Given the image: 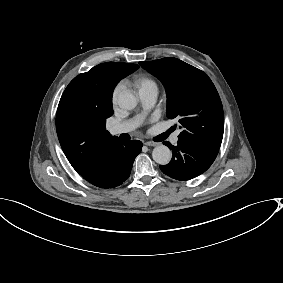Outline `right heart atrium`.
<instances>
[{"mask_svg":"<svg viewBox=\"0 0 283 283\" xmlns=\"http://www.w3.org/2000/svg\"><path fill=\"white\" fill-rule=\"evenodd\" d=\"M122 84L121 83H117L112 91H111V102L113 105H116L117 104V100H118V97H119V94L120 92L122 91Z\"/></svg>","mask_w":283,"mask_h":283,"instance_id":"right-heart-atrium-1","label":"right heart atrium"}]
</instances>
